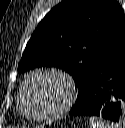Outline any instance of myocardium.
<instances>
[{
    "label": "myocardium",
    "instance_id": "f54148a6",
    "mask_svg": "<svg viewBox=\"0 0 125 128\" xmlns=\"http://www.w3.org/2000/svg\"><path fill=\"white\" fill-rule=\"evenodd\" d=\"M40 74L54 75L60 78L61 80H63L67 86V96L63 104L60 107H58L56 110L45 114H31L25 109L24 93L30 81L35 76ZM76 96H77V88L75 82L68 73L57 68L40 67L31 71L23 81L19 89V109L21 114L29 120L38 121V122L52 121L61 117L65 112H67L72 107L76 99Z\"/></svg>",
    "mask_w": 125,
    "mask_h": 128
}]
</instances>
